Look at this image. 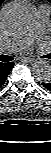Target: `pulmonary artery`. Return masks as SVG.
I'll return each instance as SVG.
<instances>
[{
    "instance_id": "obj_1",
    "label": "pulmonary artery",
    "mask_w": 51,
    "mask_h": 153,
    "mask_svg": "<svg viewBox=\"0 0 51 153\" xmlns=\"http://www.w3.org/2000/svg\"><path fill=\"white\" fill-rule=\"evenodd\" d=\"M49 14V8L45 5L38 7L33 13L29 31L23 36L3 42L1 44V51L14 53L26 49L45 32L49 22Z\"/></svg>"
}]
</instances>
